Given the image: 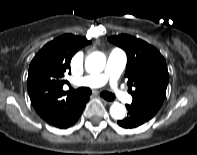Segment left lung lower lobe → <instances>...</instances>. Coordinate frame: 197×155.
I'll use <instances>...</instances> for the list:
<instances>
[{
  "label": "left lung lower lobe",
  "mask_w": 197,
  "mask_h": 155,
  "mask_svg": "<svg viewBox=\"0 0 197 155\" xmlns=\"http://www.w3.org/2000/svg\"><path fill=\"white\" fill-rule=\"evenodd\" d=\"M126 107L128 110V116L125 119L118 121V125L123 128L138 127L152 118L133 105H126Z\"/></svg>",
  "instance_id": "obj_1"
}]
</instances>
